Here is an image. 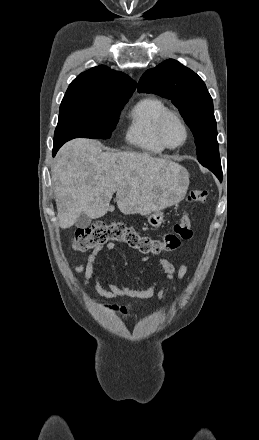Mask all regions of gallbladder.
I'll return each instance as SVG.
<instances>
[{"mask_svg": "<svg viewBox=\"0 0 259 440\" xmlns=\"http://www.w3.org/2000/svg\"><path fill=\"white\" fill-rule=\"evenodd\" d=\"M91 218L88 217L86 214L81 213L79 215V217L77 218L76 222H75V226L77 228H81V229H86L90 226L91 224Z\"/></svg>", "mask_w": 259, "mask_h": 440, "instance_id": "gallbladder-1", "label": "gallbladder"}]
</instances>
